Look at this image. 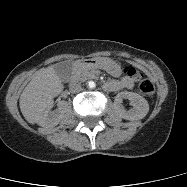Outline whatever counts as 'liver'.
Here are the masks:
<instances>
[{
  "mask_svg": "<svg viewBox=\"0 0 187 187\" xmlns=\"http://www.w3.org/2000/svg\"><path fill=\"white\" fill-rule=\"evenodd\" d=\"M63 88L62 80L54 66L37 71L20 96L19 105L24 118L31 124L37 123L53 98L59 95Z\"/></svg>",
  "mask_w": 187,
  "mask_h": 187,
  "instance_id": "liver-1",
  "label": "liver"
}]
</instances>
